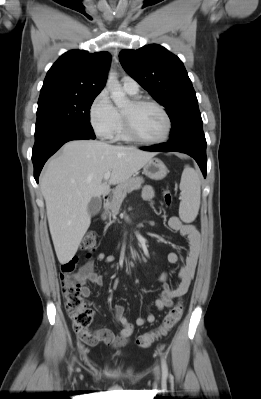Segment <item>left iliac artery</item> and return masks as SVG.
I'll use <instances>...</instances> for the list:
<instances>
[{
    "label": "left iliac artery",
    "mask_w": 261,
    "mask_h": 399,
    "mask_svg": "<svg viewBox=\"0 0 261 399\" xmlns=\"http://www.w3.org/2000/svg\"><path fill=\"white\" fill-rule=\"evenodd\" d=\"M161 365H162V375L164 377L168 376V367H167V363L164 357H162L161 359Z\"/></svg>",
    "instance_id": "left-iliac-artery-1"
}]
</instances>
